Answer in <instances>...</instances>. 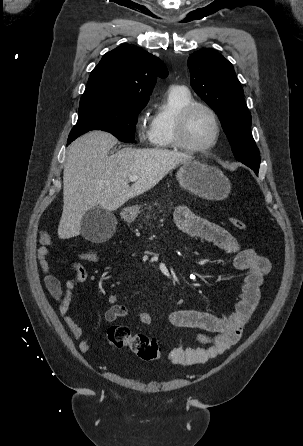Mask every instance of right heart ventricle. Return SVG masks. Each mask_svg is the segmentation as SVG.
<instances>
[{
	"instance_id": "right-heart-ventricle-1",
	"label": "right heart ventricle",
	"mask_w": 303,
	"mask_h": 446,
	"mask_svg": "<svg viewBox=\"0 0 303 446\" xmlns=\"http://www.w3.org/2000/svg\"><path fill=\"white\" fill-rule=\"evenodd\" d=\"M191 102H193V98L185 87L172 86L169 88L151 120L150 141L155 148H176L175 120L178 113Z\"/></svg>"
}]
</instances>
